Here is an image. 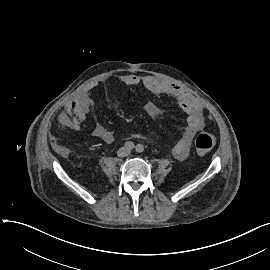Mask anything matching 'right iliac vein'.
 <instances>
[{
	"label": "right iliac vein",
	"mask_w": 270,
	"mask_h": 270,
	"mask_svg": "<svg viewBox=\"0 0 270 270\" xmlns=\"http://www.w3.org/2000/svg\"><path fill=\"white\" fill-rule=\"evenodd\" d=\"M124 153V149L119 151V154L122 155Z\"/></svg>",
	"instance_id": "right-iliac-vein-1"
}]
</instances>
